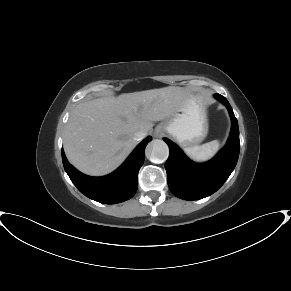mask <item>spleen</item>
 Here are the masks:
<instances>
[{"mask_svg": "<svg viewBox=\"0 0 291 291\" xmlns=\"http://www.w3.org/2000/svg\"><path fill=\"white\" fill-rule=\"evenodd\" d=\"M220 143L218 140L205 143L200 146H190L184 149L187 156L197 162L207 161L212 158L219 150Z\"/></svg>", "mask_w": 291, "mask_h": 291, "instance_id": "obj_1", "label": "spleen"}]
</instances>
